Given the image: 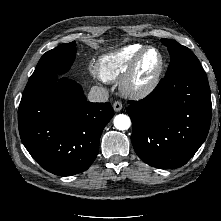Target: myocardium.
Wrapping results in <instances>:
<instances>
[{"instance_id": "myocardium-1", "label": "myocardium", "mask_w": 221, "mask_h": 221, "mask_svg": "<svg viewBox=\"0 0 221 221\" xmlns=\"http://www.w3.org/2000/svg\"><path fill=\"white\" fill-rule=\"evenodd\" d=\"M150 50H154L158 54L159 62L157 68L146 81L139 82L137 77L140 63L146 55V53ZM164 65V56L159 48L155 46H146L142 48L121 78L120 88L122 92L125 95L133 98H143L149 95L155 90V88L159 84L164 70Z\"/></svg>"}]
</instances>
